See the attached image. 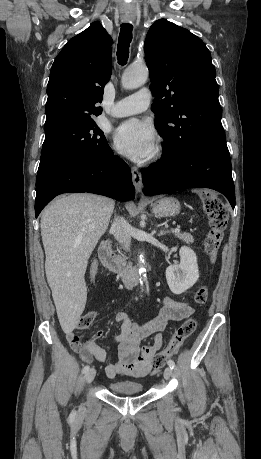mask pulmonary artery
Returning <instances> with one entry per match:
<instances>
[{"label": "pulmonary artery", "mask_w": 261, "mask_h": 459, "mask_svg": "<svg viewBox=\"0 0 261 459\" xmlns=\"http://www.w3.org/2000/svg\"><path fill=\"white\" fill-rule=\"evenodd\" d=\"M151 103V92L142 88L138 92L117 101L111 110L113 117H125L143 112Z\"/></svg>", "instance_id": "e3ab8cb5"}]
</instances>
